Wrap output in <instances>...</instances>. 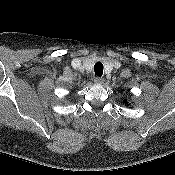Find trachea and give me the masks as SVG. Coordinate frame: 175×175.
Returning <instances> with one entry per match:
<instances>
[{
    "instance_id": "1",
    "label": "trachea",
    "mask_w": 175,
    "mask_h": 175,
    "mask_svg": "<svg viewBox=\"0 0 175 175\" xmlns=\"http://www.w3.org/2000/svg\"><path fill=\"white\" fill-rule=\"evenodd\" d=\"M103 69H104L103 64L100 62H97L94 65L95 76L101 77L103 74Z\"/></svg>"
}]
</instances>
